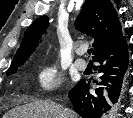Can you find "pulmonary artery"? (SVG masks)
<instances>
[{"label": "pulmonary artery", "instance_id": "obj_1", "mask_svg": "<svg viewBox=\"0 0 133 118\" xmlns=\"http://www.w3.org/2000/svg\"><path fill=\"white\" fill-rule=\"evenodd\" d=\"M85 51H86L85 48H81V49L78 50V52H79L80 55L84 54ZM75 65H76V67H77L79 70H82V71L85 70V69L87 68V62H86L84 59H82V58L77 59V60L75 61Z\"/></svg>", "mask_w": 133, "mask_h": 118}]
</instances>
